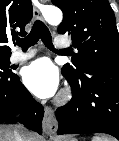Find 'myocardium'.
<instances>
[{
    "mask_svg": "<svg viewBox=\"0 0 119 141\" xmlns=\"http://www.w3.org/2000/svg\"><path fill=\"white\" fill-rule=\"evenodd\" d=\"M69 98V93L68 92H64L61 96V100L62 101H66Z\"/></svg>",
    "mask_w": 119,
    "mask_h": 141,
    "instance_id": "f54148a6",
    "label": "myocardium"
}]
</instances>
